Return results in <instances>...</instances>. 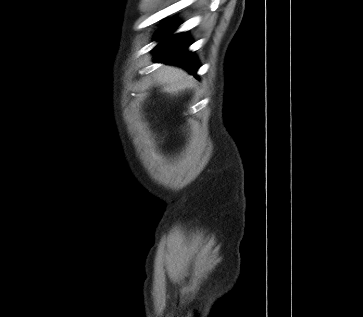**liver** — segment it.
I'll return each mask as SVG.
<instances>
[{
    "instance_id": "obj_1",
    "label": "liver",
    "mask_w": 363,
    "mask_h": 317,
    "mask_svg": "<svg viewBox=\"0 0 363 317\" xmlns=\"http://www.w3.org/2000/svg\"><path fill=\"white\" fill-rule=\"evenodd\" d=\"M163 81L175 84L178 89L185 87L187 82L184 80L186 73L177 67L166 66L160 72Z\"/></svg>"
}]
</instances>
